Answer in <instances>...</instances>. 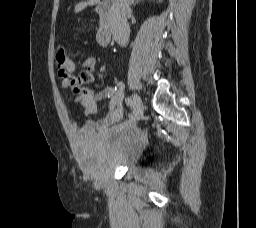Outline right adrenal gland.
<instances>
[{"mask_svg":"<svg viewBox=\"0 0 256 228\" xmlns=\"http://www.w3.org/2000/svg\"><path fill=\"white\" fill-rule=\"evenodd\" d=\"M139 1H143V0H135V2L133 3V6H135L136 4H138Z\"/></svg>","mask_w":256,"mask_h":228,"instance_id":"obj_1","label":"right adrenal gland"}]
</instances>
